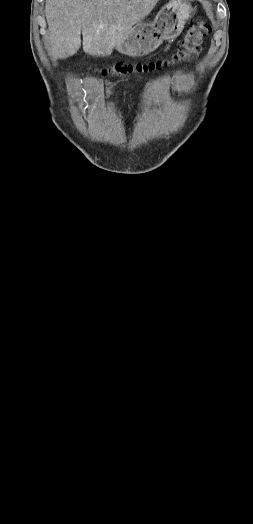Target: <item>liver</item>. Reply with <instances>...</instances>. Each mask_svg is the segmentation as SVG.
I'll use <instances>...</instances> for the list:
<instances>
[{"label":"liver","mask_w":253,"mask_h":524,"mask_svg":"<svg viewBox=\"0 0 253 524\" xmlns=\"http://www.w3.org/2000/svg\"><path fill=\"white\" fill-rule=\"evenodd\" d=\"M159 0H47L45 16L50 52L65 59L81 47L107 56L129 30L148 16Z\"/></svg>","instance_id":"1"}]
</instances>
